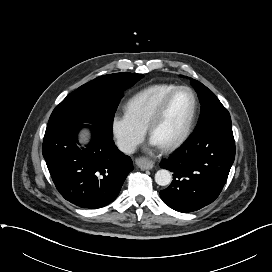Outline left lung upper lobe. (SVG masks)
I'll list each match as a JSON object with an SVG mask.
<instances>
[{
  "label": "left lung upper lobe",
  "instance_id": "left-lung-upper-lobe-1",
  "mask_svg": "<svg viewBox=\"0 0 272 272\" xmlns=\"http://www.w3.org/2000/svg\"><path fill=\"white\" fill-rule=\"evenodd\" d=\"M191 84L195 88L201 103V113L195 129L219 121L231 120L229 112L211 90L194 79H191Z\"/></svg>",
  "mask_w": 272,
  "mask_h": 272
}]
</instances>
